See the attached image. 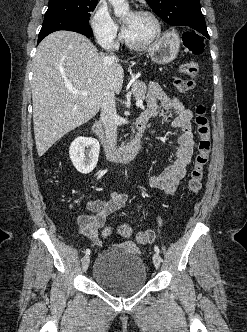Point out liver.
<instances>
[{
	"label": "liver",
	"instance_id": "6515ba94",
	"mask_svg": "<svg viewBox=\"0 0 247 332\" xmlns=\"http://www.w3.org/2000/svg\"><path fill=\"white\" fill-rule=\"evenodd\" d=\"M123 79L119 60L98 53L85 36L72 31L48 35L33 60V123L38 156L92 119L108 93H120ZM71 90L87 91L88 95Z\"/></svg>",
	"mask_w": 247,
	"mask_h": 332
}]
</instances>
